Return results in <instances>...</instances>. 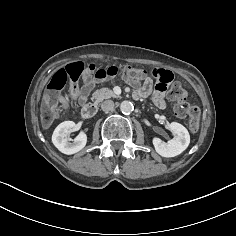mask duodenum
<instances>
[{
	"instance_id": "1",
	"label": "duodenum",
	"mask_w": 236,
	"mask_h": 236,
	"mask_svg": "<svg viewBox=\"0 0 236 236\" xmlns=\"http://www.w3.org/2000/svg\"><path fill=\"white\" fill-rule=\"evenodd\" d=\"M97 113V108L93 103H87L83 106L81 115L84 119H92Z\"/></svg>"
}]
</instances>
